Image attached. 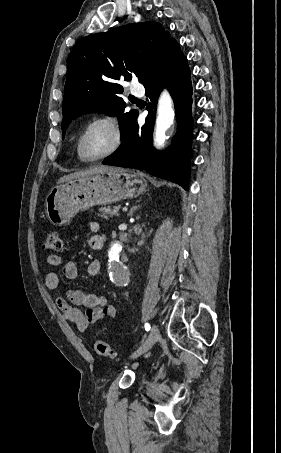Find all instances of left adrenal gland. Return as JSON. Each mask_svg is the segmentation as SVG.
Masks as SVG:
<instances>
[{
    "instance_id": "obj_1",
    "label": "left adrenal gland",
    "mask_w": 281,
    "mask_h": 453,
    "mask_svg": "<svg viewBox=\"0 0 281 453\" xmlns=\"http://www.w3.org/2000/svg\"><path fill=\"white\" fill-rule=\"evenodd\" d=\"M136 208H138V206H133V208H131V210H130V212H129L130 216H133V214H134Z\"/></svg>"
}]
</instances>
